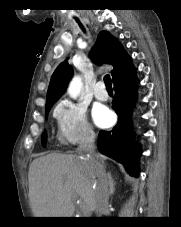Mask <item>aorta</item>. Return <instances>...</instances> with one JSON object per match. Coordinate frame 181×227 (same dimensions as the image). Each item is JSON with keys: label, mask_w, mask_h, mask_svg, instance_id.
I'll list each match as a JSON object with an SVG mask.
<instances>
[{"label": "aorta", "mask_w": 181, "mask_h": 227, "mask_svg": "<svg viewBox=\"0 0 181 227\" xmlns=\"http://www.w3.org/2000/svg\"><path fill=\"white\" fill-rule=\"evenodd\" d=\"M81 87H82V79L80 76H75L70 84H69V87H68V93L70 95V97L72 98H77V96L79 95L80 93V90H81Z\"/></svg>", "instance_id": "obj_1"}]
</instances>
